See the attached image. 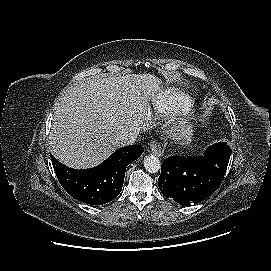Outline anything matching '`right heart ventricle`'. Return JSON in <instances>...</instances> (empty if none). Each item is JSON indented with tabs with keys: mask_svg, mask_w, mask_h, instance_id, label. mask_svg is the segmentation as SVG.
I'll list each match as a JSON object with an SVG mask.
<instances>
[{
	"mask_svg": "<svg viewBox=\"0 0 271 271\" xmlns=\"http://www.w3.org/2000/svg\"><path fill=\"white\" fill-rule=\"evenodd\" d=\"M153 105L160 115L176 117L187 113L194 105V101L188 95L170 88L156 95Z\"/></svg>",
	"mask_w": 271,
	"mask_h": 271,
	"instance_id": "obj_1",
	"label": "right heart ventricle"
}]
</instances>
